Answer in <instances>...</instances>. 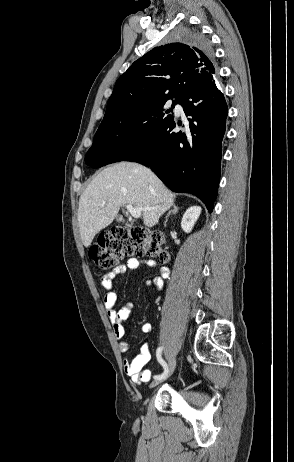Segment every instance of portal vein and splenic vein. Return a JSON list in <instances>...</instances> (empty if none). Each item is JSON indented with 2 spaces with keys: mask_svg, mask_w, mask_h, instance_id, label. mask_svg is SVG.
Segmentation results:
<instances>
[{
  "mask_svg": "<svg viewBox=\"0 0 294 462\" xmlns=\"http://www.w3.org/2000/svg\"><path fill=\"white\" fill-rule=\"evenodd\" d=\"M127 211L131 214L133 218H140L141 216V210L139 208H136L130 204L126 205Z\"/></svg>",
  "mask_w": 294,
  "mask_h": 462,
  "instance_id": "1",
  "label": "portal vein and splenic vein"
}]
</instances>
